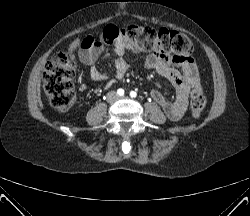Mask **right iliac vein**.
I'll use <instances>...</instances> for the list:
<instances>
[{
  "label": "right iliac vein",
  "mask_w": 250,
  "mask_h": 216,
  "mask_svg": "<svg viewBox=\"0 0 250 216\" xmlns=\"http://www.w3.org/2000/svg\"><path fill=\"white\" fill-rule=\"evenodd\" d=\"M115 97H116L115 94H114V93H111L110 96H109V99H110V100H114Z\"/></svg>",
  "instance_id": "obj_1"
}]
</instances>
